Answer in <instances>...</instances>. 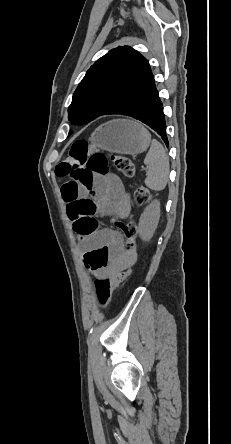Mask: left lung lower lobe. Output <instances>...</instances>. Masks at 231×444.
<instances>
[{"label": "left lung lower lobe", "instance_id": "1", "mask_svg": "<svg viewBox=\"0 0 231 444\" xmlns=\"http://www.w3.org/2000/svg\"><path fill=\"white\" fill-rule=\"evenodd\" d=\"M116 114L131 116L156 131L169 145L166 136V123L162 102L155 87L154 76L151 74L138 86L136 92L124 102Z\"/></svg>", "mask_w": 231, "mask_h": 444}]
</instances>
